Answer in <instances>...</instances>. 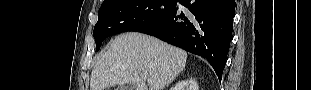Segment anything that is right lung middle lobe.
Listing matches in <instances>:
<instances>
[{
	"instance_id": "dd1d6c3e",
	"label": "right lung middle lobe",
	"mask_w": 311,
	"mask_h": 90,
	"mask_svg": "<svg viewBox=\"0 0 311 90\" xmlns=\"http://www.w3.org/2000/svg\"><path fill=\"white\" fill-rule=\"evenodd\" d=\"M177 0H107L98 12V22L94 27L96 48L111 35L138 31L170 13Z\"/></svg>"
}]
</instances>
